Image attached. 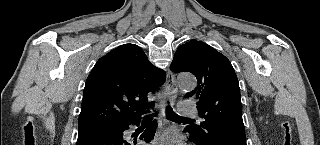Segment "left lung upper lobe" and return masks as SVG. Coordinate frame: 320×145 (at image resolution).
Returning a JSON list of instances; mask_svg holds the SVG:
<instances>
[{"label":"left lung upper lobe","mask_w":320,"mask_h":145,"mask_svg":"<svg viewBox=\"0 0 320 145\" xmlns=\"http://www.w3.org/2000/svg\"><path fill=\"white\" fill-rule=\"evenodd\" d=\"M170 69L191 72L198 81L185 95L197 99L199 116L205 120L200 126H189L192 137L208 144L222 132L245 136L238 79L223 54L193 39L178 47Z\"/></svg>","instance_id":"obj_1"}]
</instances>
